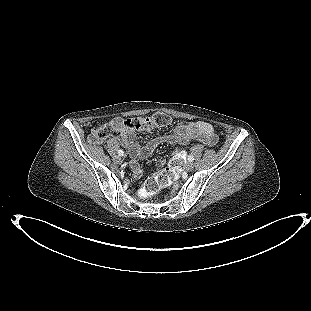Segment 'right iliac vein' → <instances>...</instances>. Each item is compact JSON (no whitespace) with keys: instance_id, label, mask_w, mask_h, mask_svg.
<instances>
[{"instance_id":"63e3f726","label":"right iliac vein","mask_w":311,"mask_h":311,"mask_svg":"<svg viewBox=\"0 0 311 311\" xmlns=\"http://www.w3.org/2000/svg\"><path fill=\"white\" fill-rule=\"evenodd\" d=\"M114 161H115L116 163H119V162L121 161V158H120V157H115Z\"/></svg>"}]
</instances>
